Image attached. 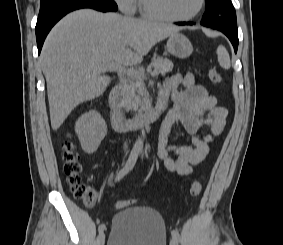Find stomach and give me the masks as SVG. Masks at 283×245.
<instances>
[{"instance_id": "obj_1", "label": "stomach", "mask_w": 283, "mask_h": 245, "mask_svg": "<svg viewBox=\"0 0 283 245\" xmlns=\"http://www.w3.org/2000/svg\"><path fill=\"white\" fill-rule=\"evenodd\" d=\"M167 50L171 55L183 59L192 54L193 47L185 35L175 32L169 36Z\"/></svg>"}]
</instances>
